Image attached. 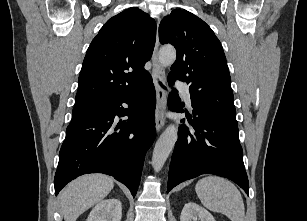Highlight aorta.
<instances>
[{"mask_svg":"<svg viewBox=\"0 0 307 221\" xmlns=\"http://www.w3.org/2000/svg\"><path fill=\"white\" fill-rule=\"evenodd\" d=\"M176 60V50L172 46L162 47L159 51V62L163 66H170ZM178 139V127L170 124L157 140L152 156V166L155 172H159Z\"/></svg>","mask_w":307,"mask_h":221,"instance_id":"762f6f07","label":"aorta"}]
</instances>
